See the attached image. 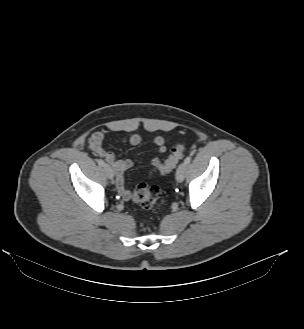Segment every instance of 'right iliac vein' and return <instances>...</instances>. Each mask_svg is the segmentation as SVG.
<instances>
[{"mask_svg": "<svg viewBox=\"0 0 304 329\" xmlns=\"http://www.w3.org/2000/svg\"><path fill=\"white\" fill-rule=\"evenodd\" d=\"M104 170H105V173H106L107 177L109 179H113L114 173H113L112 168L109 165L105 164L104 165Z\"/></svg>", "mask_w": 304, "mask_h": 329, "instance_id": "obj_1", "label": "right iliac vein"}]
</instances>
